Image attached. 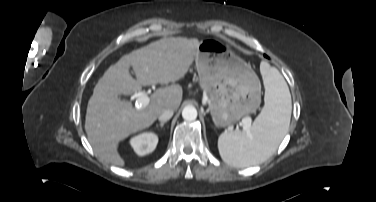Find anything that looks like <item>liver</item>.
<instances>
[{
    "mask_svg": "<svg viewBox=\"0 0 376 202\" xmlns=\"http://www.w3.org/2000/svg\"><path fill=\"white\" fill-rule=\"evenodd\" d=\"M199 44L196 38H162L122 56L105 71L88 101L85 119L88 141L102 160L124 166L119 142L152 125L164 110H177L183 91L179 85L158 88L148 105L141 108L117 96L138 93L142 86L180 80L192 65ZM130 67L137 80L131 76Z\"/></svg>",
    "mask_w": 376,
    "mask_h": 202,
    "instance_id": "liver-1",
    "label": "liver"
}]
</instances>
